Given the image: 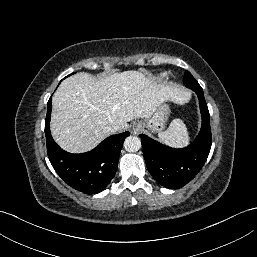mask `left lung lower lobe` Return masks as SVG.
I'll list each match as a JSON object with an SVG mask.
<instances>
[{"instance_id": "left-lung-lower-lobe-1", "label": "left lung lower lobe", "mask_w": 257, "mask_h": 257, "mask_svg": "<svg viewBox=\"0 0 257 257\" xmlns=\"http://www.w3.org/2000/svg\"><path fill=\"white\" fill-rule=\"evenodd\" d=\"M202 114L199 135L189 146L171 148L140 134L146 166L154 179L166 188L179 189L190 182L205 164L212 144L210 114L203 90L195 91Z\"/></svg>"}]
</instances>
